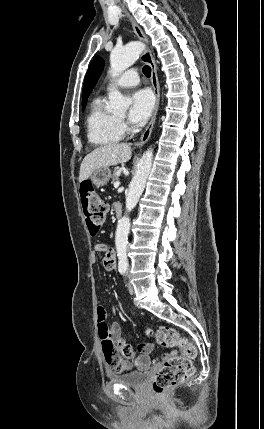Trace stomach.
Wrapping results in <instances>:
<instances>
[{
	"instance_id": "0dacf381",
	"label": "stomach",
	"mask_w": 264,
	"mask_h": 429,
	"mask_svg": "<svg viewBox=\"0 0 264 429\" xmlns=\"http://www.w3.org/2000/svg\"><path fill=\"white\" fill-rule=\"evenodd\" d=\"M111 177V170L108 167L97 169L90 177V181L97 187L107 184Z\"/></svg>"
}]
</instances>
